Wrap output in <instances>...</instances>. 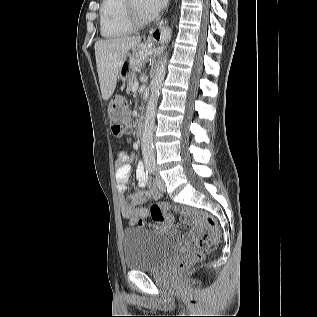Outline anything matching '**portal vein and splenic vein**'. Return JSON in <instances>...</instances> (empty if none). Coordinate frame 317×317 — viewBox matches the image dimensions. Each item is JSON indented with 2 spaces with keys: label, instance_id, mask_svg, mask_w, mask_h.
Returning a JSON list of instances; mask_svg holds the SVG:
<instances>
[{
  "label": "portal vein and splenic vein",
  "instance_id": "portal-vein-and-splenic-vein-1",
  "mask_svg": "<svg viewBox=\"0 0 317 317\" xmlns=\"http://www.w3.org/2000/svg\"><path fill=\"white\" fill-rule=\"evenodd\" d=\"M138 86H139L138 81H136V82L134 83V86H133V88H132V91H133V92H136L137 89H138Z\"/></svg>",
  "mask_w": 317,
  "mask_h": 317
}]
</instances>
